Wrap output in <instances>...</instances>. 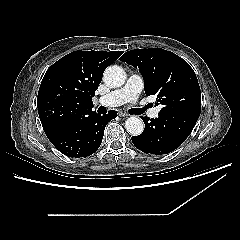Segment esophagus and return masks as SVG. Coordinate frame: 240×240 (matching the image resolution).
Returning <instances> with one entry per match:
<instances>
[{
    "mask_svg": "<svg viewBox=\"0 0 240 240\" xmlns=\"http://www.w3.org/2000/svg\"><path fill=\"white\" fill-rule=\"evenodd\" d=\"M120 117H128L129 116V114H127V113H125V112H119V114H118Z\"/></svg>",
    "mask_w": 240,
    "mask_h": 240,
    "instance_id": "34e87169",
    "label": "esophagus"
}]
</instances>
